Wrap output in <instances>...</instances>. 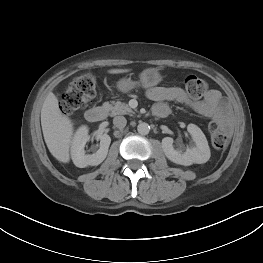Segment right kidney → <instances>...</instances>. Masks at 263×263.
Returning <instances> with one entry per match:
<instances>
[{"instance_id":"obj_1","label":"right kidney","mask_w":263,"mask_h":263,"mask_svg":"<svg viewBox=\"0 0 263 263\" xmlns=\"http://www.w3.org/2000/svg\"><path fill=\"white\" fill-rule=\"evenodd\" d=\"M88 132V127L83 125L77 129L72 140L71 157L75 166L79 168L97 166L102 163L107 156L108 148L111 143L109 135L101 134L96 131L94 132V135L96 138L100 139V148L97 152L91 155H86L84 147L90 139Z\"/></svg>"}]
</instances>
